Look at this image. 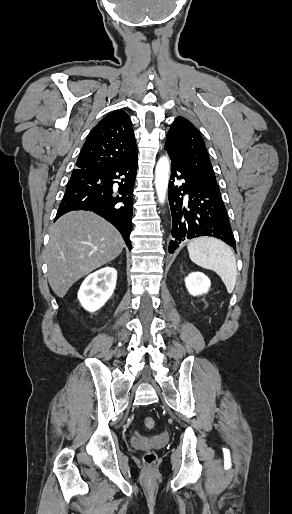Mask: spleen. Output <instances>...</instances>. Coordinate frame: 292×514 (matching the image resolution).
Listing matches in <instances>:
<instances>
[{"label": "spleen", "instance_id": "obj_1", "mask_svg": "<svg viewBox=\"0 0 292 514\" xmlns=\"http://www.w3.org/2000/svg\"><path fill=\"white\" fill-rule=\"evenodd\" d=\"M189 258L206 270H213L232 294L237 280V266L231 248L216 238H195L187 244Z\"/></svg>", "mask_w": 292, "mask_h": 514}]
</instances>
